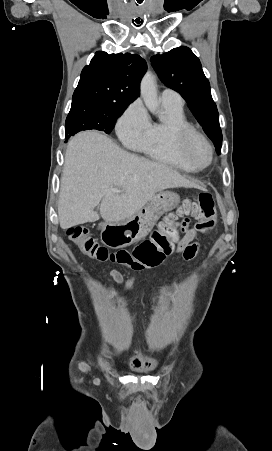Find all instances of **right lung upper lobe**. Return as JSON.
Here are the masks:
<instances>
[{"mask_svg": "<svg viewBox=\"0 0 272 451\" xmlns=\"http://www.w3.org/2000/svg\"><path fill=\"white\" fill-rule=\"evenodd\" d=\"M147 64L139 55L98 51L85 66L72 103L101 102L129 105L140 94Z\"/></svg>", "mask_w": 272, "mask_h": 451, "instance_id": "cb5924a9", "label": "right lung upper lobe"}]
</instances>
